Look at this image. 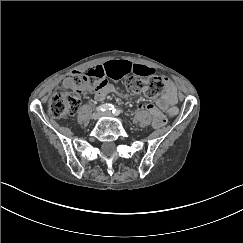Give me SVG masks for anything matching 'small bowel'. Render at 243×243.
Masks as SVG:
<instances>
[{
	"mask_svg": "<svg viewBox=\"0 0 243 243\" xmlns=\"http://www.w3.org/2000/svg\"><path fill=\"white\" fill-rule=\"evenodd\" d=\"M87 73L97 76L100 79L104 78L105 76L112 79H120L130 73L139 76H151L155 74V70L153 68L140 64H134L126 60H119L110 61L103 65L93 67ZM166 83L168 85V90L164 95L157 99V105L161 109L165 110L168 115L175 116L178 114V108L176 106L178 98L167 79ZM113 91H115V89L111 84L106 81H102L99 88L95 91V99L97 101H102L110 92Z\"/></svg>",
	"mask_w": 243,
	"mask_h": 243,
	"instance_id": "c3829d8e",
	"label": "small bowel"
}]
</instances>
